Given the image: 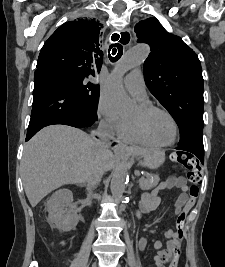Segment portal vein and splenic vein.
I'll use <instances>...</instances> for the list:
<instances>
[{"instance_id": "portal-vein-and-splenic-vein-1", "label": "portal vein and splenic vein", "mask_w": 225, "mask_h": 267, "mask_svg": "<svg viewBox=\"0 0 225 267\" xmlns=\"http://www.w3.org/2000/svg\"><path fill=\"white\" fill-rule=\"evenodd\" d=\"M143 181V178H141L140 180H139V183H141Z\"/></svg>"}]
</instances>
